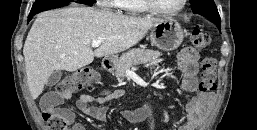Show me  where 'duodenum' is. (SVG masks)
Masks as SVG:
<instances>
[{"mask_svg":"<svg viewBox=\"0 0 257 130\" xmlns=\"http://www.w3.org/2000/svg\"><path fill=\"white\" fill-rule=\"evenodd\" d=\"M112 67H113L112 60H110V59L104 60V62H103V69L105 71H110L112 69Z\"/></svg>","mask_w":257,"mask_h":130,"instance_id":"duodenum-1","label":"duodenum"}]
</instances>
